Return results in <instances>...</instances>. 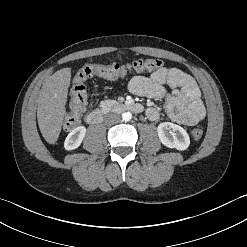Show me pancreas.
<instances>
[{
  "mask_svg": "<svg viewBox=\"0 0 247 247\" xmlns=\"http://www.w3.org/2000/svg\"><path fill=\"white\" fill-rule=\"evenodd\" d=\"M116 104H117V101H115V100H105V101L100 102V106L102 108L111 107V106L116 105Z\"/></svg>",
  "mask_w": 247,
  "mask_h": 247,
  "instance_id": "pancreas-1",
  "label": "pancreas"
}]
</instances>
